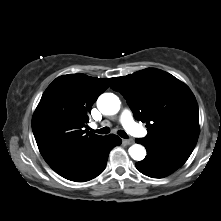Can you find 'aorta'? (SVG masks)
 Segmentation results:
<instances>
[{
  "label": "aorta",
  "mask_w": 221,
  "mask_h": 221,
  "mask_svg": "<svg viewBox=\"0 0 221 221\" xmlns=\"http://www.w3.org/2000/svg\"><path fill=\"white\" fill-rule=\"evenodd\" d=\"M97 107L104 115H114L120 109V100L113 93H104L97 100ZM129 154L132 159L141 161L145 158L146 150L142 145L134 144L129 148Z\"/></svg>",
  "instance_id": "762f6f07"
}]
</instances>
